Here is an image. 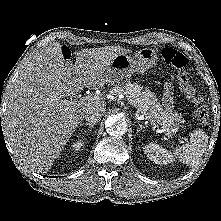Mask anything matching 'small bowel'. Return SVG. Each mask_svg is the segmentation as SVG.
<instances>
[{
  "label": "small bowel",
  "instance_id": "c3829d8e",
  "mask_svg": "<svg viewBox=\"0 0 221 221\" xmlns=\"http://www.w3.org/2000/svg\"><path fill=\"white\" fill-rule=\"evenodd\" d=\"M163 103L166 107H170L173 103L172 94L170 91H166L163 97Z\"/></svg>",
  "mask_w": 221,
  "mask_h": 221
}]
</instances>
